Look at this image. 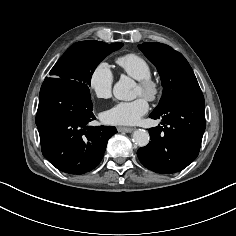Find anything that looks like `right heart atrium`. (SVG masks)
Here are the masks:
<instances>
[{"label":"right heart atrium","instance_id":"obj_1","mask_svg":"<svg viewBox=\"0 0 236 236\" xmlns=\"http://www.w3.org/2000/svg\"><path fill=\"white\" fill-rule=\"evenodd\" d=\"M113 82L114 75L108 63L99 62L91 70L87 84L95 97L105 99L111 95Z\"/></svg>","mask_w":236,"mask_h":236}]
</instances>
